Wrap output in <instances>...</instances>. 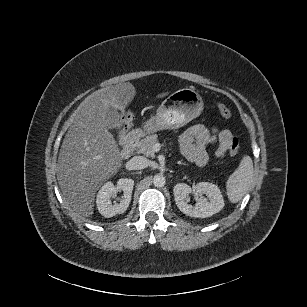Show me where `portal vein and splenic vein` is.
<instances>
[{
	"label": "portal vein and splenic vein",
	"mask_w": 307,
	"mask_h": 307,
	"mask_svg": "<svg viewBox=\"0 0 307 307\" xmlns=\"http://www.w3.org/2000/svg\"><path fill=\"white\" fill-rule=\"evenodd\" d=\"M160 147H161V144H160L159 142H156V143L154 144V148H155L156 150H159Z\"/></svg>",
	"instance_id": "obj_1"
}]
</instances>
